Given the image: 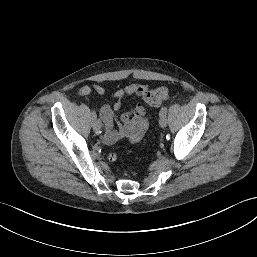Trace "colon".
Returning <instances> with one entry per match:
<instances>
[{
    "label": "colon",
    "instance_id": "obj_1",
    "mask_svg": "<svg viewBox=\"0 0 257 257\" xmlns=\"http://www.w3.org/2000/svg\"><path fill=\"white\" fill-rule=\"evenodd\" d=\"M168 96V89L164 86L158 87L154 90L148 91L143 98L144 104L148 107H158ZM110 162L116 161V154L110 152L108 154Z\"/></svg>",
    "mask_w": 257,
    "mask_h": 257
}]
</instances>
